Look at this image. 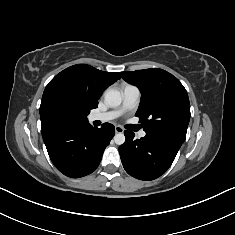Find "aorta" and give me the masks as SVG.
<instances>
[{
    "label": "aorta",
    "mask_w": 235,
    "mask_h": 235,
    "mask_svg": "<svg viewBox=\"0 0 235 235\" xmlns=\"http://www.w3.org/2000/svg\"><path fill=\"white\" fill-rule=\"evenodd\" d=\"M105 103L110 107H117L122 102V95L118 90L109 89L105 93ZM114 142L117 145H122L125 142V136L123 133H117L114 136Z\"/></svg>",
    "instance_id": "aorta-1"
}]
</instances>
